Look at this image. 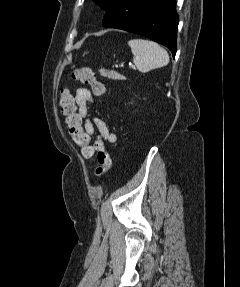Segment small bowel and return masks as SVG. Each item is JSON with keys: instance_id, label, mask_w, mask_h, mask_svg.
Segmentation results:
<instances>
[{"instance_id": "c3829d8e", "label": "small bowel", "mask_w": 240, "mask_h": 287, "mask_svg": "<svg viewBox=\"0 0 240 287\" xmlns=\"http://www.w3.org/2000/svg\"><path fill=\"white\" fill-rule=\"evenodd\" d=\"M94 102L93 96L87 88H79L74 97V103L77 113L81 119L86 118L88 115L89 105ZM84 130L89 136L95 134V141L93 147L96 151L105 150L106 143H115L117 137L107 127L106 123L96 117L87 118L83 123Z\"/></svg>"}]
</instances>
